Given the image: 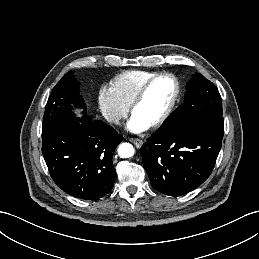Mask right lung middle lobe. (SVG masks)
<instances>
[{
  "instance_id": "dd1d6c3e",
  "label": "right lung middle lobe",
  "mask_w": 259,
  "mask_h": 259,
  "mask_svg": "<svg viewBox=\"0 0 259 259\" xmlns=\"http://www.w3.org/2000/svg\"><path fill=\"white\" fill-rule=\"evenodd\" d=\"M78 91L79 85L74 76V71L66 73L56 84L48 99L43 116L42 134L47 132L56 121L61 119H72L79 122L91 119L87 115L77 118L74 112H72L73 106L85 108L84 100ZM84 114H86L85 111Z\"/></svg>"
}]
</instances>
